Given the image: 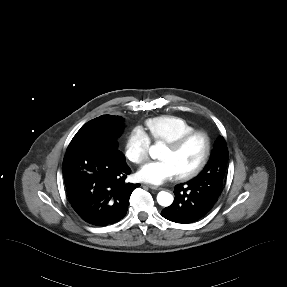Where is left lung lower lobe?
I'll list each match as a JSON object with an SVG mask.
<instances>
[{
	"label": "left lung lower lobe",
	"instance_id": "0a47b994",
	"mask_svg": "<svg viewBox=\"0 0 287 287\" xmlns=\"http://www.w3.org/2000/svg\"><path fill=\"white\" fill-rule=\"evenodd\" d=\"M203 189L191 181L175 186L173 203L162 210L161 215L176 223H191L206 215L217 202L222 188L211 183Z\"/></svg>",
	"mask_w": 287,
	"mask_h": 287
}]
</instances>
